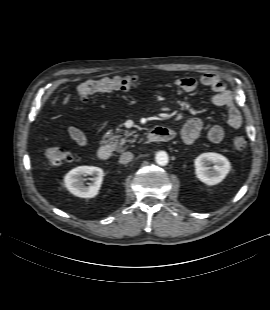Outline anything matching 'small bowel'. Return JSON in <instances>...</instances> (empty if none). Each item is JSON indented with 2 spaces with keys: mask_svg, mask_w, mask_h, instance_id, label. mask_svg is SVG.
Wrapping results in <instances>:
<instances>
[{
  "mask_svg": "<svg viewBox=\"0 0 270 310\" xmlns=\"http://www.w3.org/2000/svg\"><path fill=\"white\" fill-rule=\"evenodd\" d=\"M199 85L209 87L212 91L210 98L211 103L218 107L225 108L224 122L212 125L207 133V138L212 143H218L225 136L224 124L232 129H239L242 126V115L236 107L234 97L226 84L215 73L207 72L199 79L194 77H181L175 80V86L187 93L195 91ZM70 96L67 95L63 103L67 104ZM203 122L199 118L189 119L181 130V136L186 144H193L202 134ZM66 134L70 139L80 146L86 147L90 145V140L85 133L75 127L69 126Z\"/></svg>",
  "mask_w": 270,
  "mask_h": 310,
  "instance_id": "obj_1",
  "label": "small bowel"
}]
</instances>
